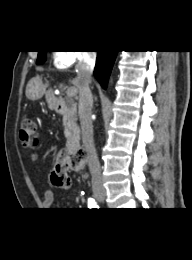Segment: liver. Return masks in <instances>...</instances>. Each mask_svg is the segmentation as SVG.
<instances>
[{"instance_id": "liver-1", "label": "liver", "mask_w": 192, "mask_h": 260, "mask_svg": "<svg viewBox=\"0 0 192 260\" xmlns=\"http://www.w3.org/2000/svg\"><path fill=\"white\" fill-rule=\"evenodd\" d=\"M31 83H40V84H42V81L39 79V78H34V79H32L30 82H29V84H28V86H27V89H26V96L28 97V87L31 85ZM73 84H74V86L76 87V89H79L78 88V85H79V80H78V78H75L74 80H73ZM44 87H45V92H44V94L46 93V85H44ZM52 95H53V92H52V90L50 89L48 92H47V95H46V98L47 99H50L51 97H52Z\"/></svg>"}]
</instances>
